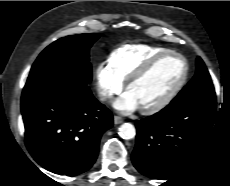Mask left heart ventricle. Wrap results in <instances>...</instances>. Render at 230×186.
<instances>
[{"instance_id": "1", "label": "left heart ventricle", "mask_w": 230, "mask_h": 186, "mask_svg": "<svg viewBox=\"0 0 230 186\" xmlns=\"http://www.w3.org/2000/svg\"><path fill=\"white\" fill-rule=\"evenodd\" d=\"M184 63L176 56H168L157 62L143 78L129 88L140 108L161 100L181 79Z\"/></svg>"}]
</instances>
